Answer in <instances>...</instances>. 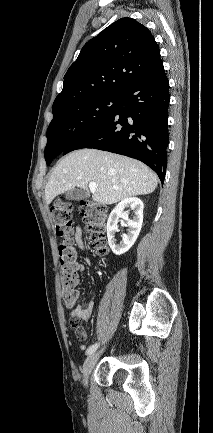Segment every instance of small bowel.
I'll list each match as a JSON object with an SVG mask.
<instances>
[{"label":"small bowel","instance_id":"small-bowel-1","mask_svg":"<svg viewBox=\"0 0 213 433\" xmlns=\"http://www.w3.org/2000/svg\"><path fill=\"white\" fill-rule=\"evenodd\" d=\"M74 241L77 244V246L82 249L85 250L86 249V245L84 243L83 240V233H82V229L80 227H77L74 231ZM91 264V260L89 258H86L83 262H77L75 263V268H76V273L80 272L84 269L85 265H90ZM78 280V279H77ZM93 309H94V302L93 301H89L88 303H86V305L84 306H77L75 308H73L70 311V315L73 318H76L78 320H82V321H89L92 313H93ZM86 337V332L83 329V334L81 338H85ZM80 350H85L86 349V345L85 344H81L79 346Z\"/></svg>","mask_w":213,"mask_h":433}]
</instances>
